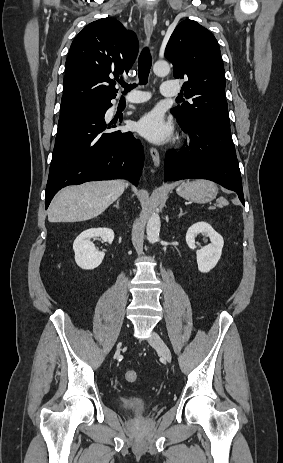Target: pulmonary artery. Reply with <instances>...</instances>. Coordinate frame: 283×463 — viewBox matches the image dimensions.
Instances as JSON below:
<instances>
[{
    "label": "pulmonary artery",
    "mask_w": 283,
    "mask_h": 463,
    "mask_svg": "<svg viewBox=\"0 0 283 463\" xmlns=\"http://www.w3.org/2000/svg\"><path fill=\"white\" fill-rule=\"evenodd\" d=\"M160 93L165 97H177L180 93L179 86L172 81H165L160 86ZM150 98L149 93L133 94L126 97L127 102H142Z\"/></svg>",
    "instance_id": "pulmonary-artery-1"
}]
</instances>
